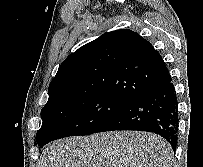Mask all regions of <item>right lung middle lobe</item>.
I'll list each match as a JSON object with an SVG mask.
<instances>
[{"instance_id":"1","label":"right lung middle lobe","mask_w":203,"mask_h":167,"mask_svg":"<svg viewBox=\"0 0 203 167\" xmlns=\"http://www.w3.org/2000/svg\"><path fill=\"white\" fill-rule=\"evenodd\" d=\"M130 101L111 95L74 98L41 110L42 126L36 141L40 147L50 141L93 134Z\"/></svg>"}]
</instances>
